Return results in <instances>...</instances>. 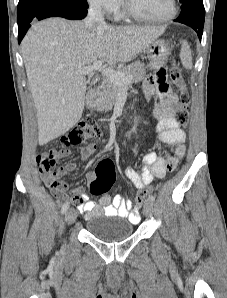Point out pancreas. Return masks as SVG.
<instances>
[{
  "label": "pancreas",
  "mask_w": 227,
  "mask_h": 298,
  "mask_svg": "<svg viewBox=\"0 0 227 298\" xmlns=\"http://www.w3.org/2000/svg\"><path fill=\"white\" fill-rule=\"evenodd\" d=\"M119 72L125 74L126 77L128 76L132 77L130 84L137 83V82H140L145 75L144 64H142L140 61H135L120 69ZM118 93H119V85L115 84L114 82L106 78L103 81L102 85L100 86L99 95H100L101 101L97 110L98 111L111 110L113 105L115 104Z\"/></svg>",
  "instance_id": "pancreas-1"
}]
</instances>
